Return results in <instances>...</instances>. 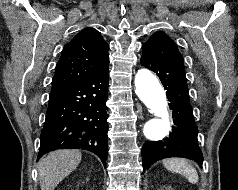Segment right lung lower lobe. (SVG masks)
I'll return each mask as SVG.
<instances>
[{"mask_svg":"<svg viewBox=\"0 0 238 190\" xmlns=\"http://www.w3.org/2000/svg\"><path fill=\"white\" fill-rule=\"evenodd\" d=\"M109 63L50 94L38 159L55 149H85L106 166Z\"/></svg>","mask_w":238,"mask_h":190,"instance_id":"1","label":"right lung lower lobe"}]
</instances>
